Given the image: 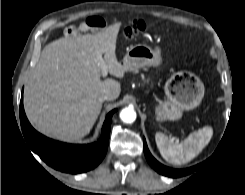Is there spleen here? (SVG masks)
<instances>
[{"instance_id": "obj_1", "label": "spleen", "mask_w": 245, "mask_h": 195, "mask_svg": "<svg viewBox=\"0 0 245 195\" xmlns=\"http://www.w3.org/2000/svg\"><path fill=\"white\" fill-rule=\"evenodd\" d=\"M213 134L211 127L191 133L181 142L173 141L162 132L155 134V141L162 157L174 165L185 164L194 159L209 143Z\"/></svg>"}]
</instances>
